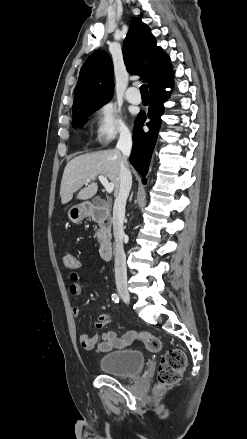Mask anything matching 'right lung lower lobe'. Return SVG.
I'll return each instance as SVG.
<instances>
[{
  "label": "right lung lower lobe",
  "mask_w": 247,
  "mask_h": 439,
  "mask_svg": "<svg viewBox=\"0 0 247 439\" xmlns=\"http://www.w3.org/2000/svg\"><path fill=\"white\" fill-rule=\"evenodd\" d=\"M169 85L170 84L150 92L151 102L147 115L150 121L146 123L149 131L145 132L143 130V123L146 120L145 114L140 113L135 121V127L133 130V150L130 155V162L143 177L146 176L149 168L151 155L161 124L160 116L164 111L163 103L169 97V93L165 91V88ZM142 182L145 183L146 180L143 179Z\"/></svg>",
  "instance_id": "98d812e1"
}]
</instances>
